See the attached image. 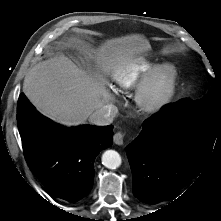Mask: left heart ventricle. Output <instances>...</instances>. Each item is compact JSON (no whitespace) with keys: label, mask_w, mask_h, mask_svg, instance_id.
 <instances>
[{"label":"left heart ventricle","mask_w":221,"mask_h":221,"mask_svg":"<svg viewBox=\"0 0 221 221\" xmlns=\"http://www.w3.org/2000/svg\"><path fill=\"white\" fill-rule=\"evenodd\" d=\"M166 80V77L165 78H163V81H165Z\"/></svg>","instance_id":"left-heart-ventricle-1"}]
</instances>
